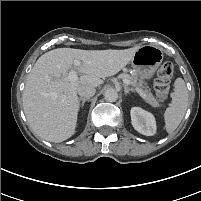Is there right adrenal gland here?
I'll return each instance as SVG.
<instances>
[{"label": "right adrenal gland", "instance_id": "2a0ac1e0", "mask_svg": "<svg viewBox=\"0 0 201 201\" xmlns=\"http://www.w3.org/2000/svg\"><path fill=\"white\" fill-rule=\"evenodd\" d=\"M81 101H82V103H81V107L83 108L85 102H86V101H89V99H82V98H80V99H79V102H81Z\"/></svg>", "mask_w": 201, "mask_h": 201}]
</instances>
